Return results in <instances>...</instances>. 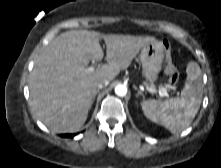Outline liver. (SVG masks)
Listing matches in <instances>:
<instances>
[{
  "mask_svg": "<svg viewBox=\"0 0 221 168\" xmlns=\"http://www.w3.org/2000/svg\"><path fill=\"white\" fill-rule=\"evenodd\" d=\"M101 39L106 44L107 64L87 72L90 60L103 59ZM154 41L151 36L103 35L88 30L60 34L43 50L30 75V104L35 115L53 132L79 131L97 94V84L113 80Z\"/></svg>",
  "mask_w": 221,
  "mask_h": 168,
  "instance_id": "1",
  "label": "liver"
}]
</instances>
